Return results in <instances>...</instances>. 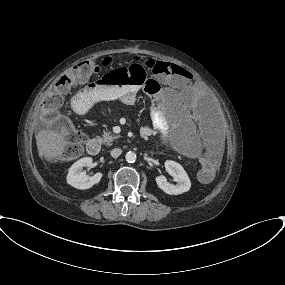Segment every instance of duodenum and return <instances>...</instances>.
Here are the masks:
<instances>
[{
	"label": "duodenum",
	"instance_id": "410a0bca",
	"mask_svg": "<svg viewBox=\"0 0 285 285\" xmlns=\"http://www.w3.org/2000/svg\"><path fill=\"white\" fill-rule=\"evenodd\" d=\"M101 150V140L99 138H92L87 144V151L91 155H96Z\"/></svg>",
	"mask_w": 285,
	"mask_h": 285
}]
</instances>
